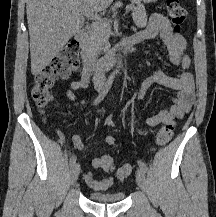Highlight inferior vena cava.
<instances>
[{"label":"inferior vena cava","mask_w":216,"mask_h":217,"mask_svg":"<svg viewBox=\"0 0 216 217\" xmlns=\"http://www.w3.org/2000/svg\"><path fill=\"white\" fill-rule=\"evenodd\" d=\"M106 81L105 73L102 70V68L99 66L97 69H95L94 75H93V82L94 86L96 88H101Z\"/></svg>","instance_id":"1"}]
</instances>
